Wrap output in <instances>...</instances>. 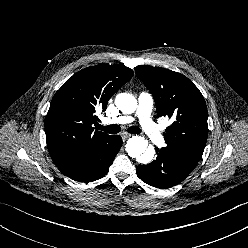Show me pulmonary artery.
<instances>
[{
	"mask_svg": "<svg viewBox=\"0 0 248 248\" xmlns=\"http://www.w3.org/2000/svg\"><path fill=\"white\" fill-rule=\"evenodd\" d=\"M153 98L150 93L142 92L138 98V108L136 116L139 120L143 132L150 138L155 144H162L164 138L157 127V125L151 119V110H152ZM134 121L132 116H119L117 118H112L107 120V123L110 124H129Z\"/></svg>",
	"mask_w": 248,
	"mask_h": 248,
	"instance_id": "pulmonary-artery-1",
	"label": "pulmonary artery"
}]
</instances>
